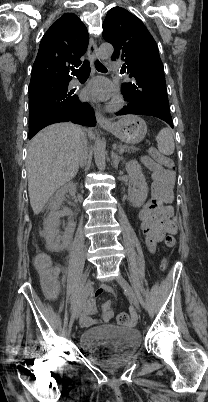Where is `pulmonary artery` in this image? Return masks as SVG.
Wrapping results in <instances>:
<instances>
[{"mask_svg":"<svg viewBox=\"0 0 208 402\" xmlns=\"http://www.w3.org/2000/svg\"><path fill=\"white\" fill-rule=\"evenodd\" d=\"M108 69L110 71H118L120 69V66L118 65V61L117 60H112L110 62V65L108 66Z\"/></svg>","mask_w":208,"mask_h":402,"instance_id":"e3ab8cb5","label":"pulmonary artery"}]
</instances>
